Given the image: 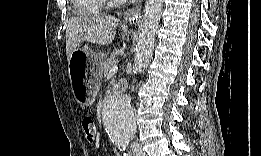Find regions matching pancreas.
Instances as JSON below:
<instances>
[{"label":"pancreas","instance_id":"obj_1","mask_svg":"<svg viewBox=\"0 0 261 156\" xmlns=\"http://www.w3.org/2000/svg\"><path fill=\"white\" fill-rule=\"evenodd\" d=\"M118 63V59L115 54H112L109 58H107L102 66V74L108 75L109 70L113 65H116Z\"/></svg>","mask_w":261,"mask_h":156}]
</instances>
